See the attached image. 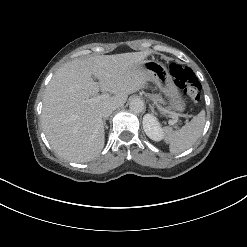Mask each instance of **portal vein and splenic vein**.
<instances>
[{"label": "portal vein and splenic vein", "mask_w": 247, "mask_h": 247, "mask_svg": "<svg viewBox=\"0 0 247 247\" xmlns=\"http://www.w3.org/2000/svg\"><path fill=\"white\" fill-rule=\"evenodd\" d=\"M107 97H109V94H108V93H104V94H102V95H100V96H97L96 98H91V99L87 100L86 102H87V103H92V102H94V101H97V100H100V99H104V98H107ZM175 122H176L175 120H170V121H169V123H170L171 125H174Z\"/></svg>", "instance_id": "1"}]
</instances>
